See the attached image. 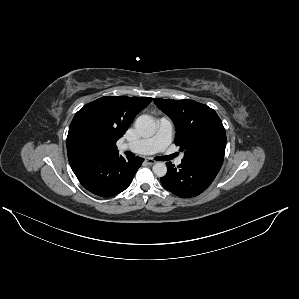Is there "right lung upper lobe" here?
<instances>
[{"label": "right lung upper lobe", "instance_id": "cb5924a9", "mask_svg": "<svg viewBox=\"0 0 299 299\" xmlns=\"http://www.w3.org/2000/svg\"><path fill=\"white\" fill-rule=\"evenodd\" d=\"M150 97L104 96L86 104L74 116L67 136L70 165L98 156L119 155L116 142Z\"/></svg>", "mask_w": 299, "mask_h": 299}]
</instances>
